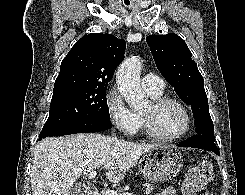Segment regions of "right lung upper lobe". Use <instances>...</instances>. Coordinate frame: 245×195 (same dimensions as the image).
Instances as JSON below:
<instances>
[{
	"instance_id": "1",
	"label": "right lung upper lobe",
	"mask_w": 245,
	"mask_h": 195,
	"mask_svg": "<svg viewBox=\"0 0 245 195\" xmlns=\"http://www.w3.org/2000/svg\"><path fill=\"white\" fill-rule=\"evenodd\" d=\"M126 43L111 34L90 33L79 39L63 59L54 91L107 88L124 59Z\"/></svg>"
}]
</instances>
